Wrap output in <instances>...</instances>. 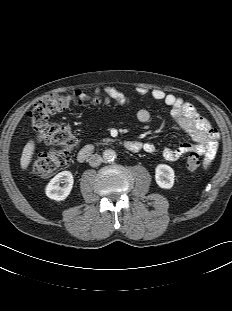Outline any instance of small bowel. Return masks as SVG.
Wrapping results in <instances>:
<instances>
[{
    "label": "small bowel",
    "instance_id": "c3829d8e",
    "mask_svg": "<svg viewBox=\"0 0 232 311\" xmlns=\"http://www.w3.org/2000/svg\"><path fill=\"white\" fill-rule=\"evenodd\" d=\"M110 89L114 93H118L116 90ZM136 91L141 96H150L155 101L165 103L170 108V116L173 121L193 141L192 143L182 142L177 147H164L162 156L168 161H174L184 155L195 153L203 157L204 166H209L217 151L219 135L200 112L192 104L161 89L138 87ZM119 96L121 99L118 100V103L123 105L125 103L124 96L121 94ZM137 119L141 123H148L151 119L150 111L140 109L137 112ZM144 150L147 153H154L156 149L153 144L146 143Z\"/></svg>",
    "mask_w": 232,
    "mask_h": 311
}]
</instances>
